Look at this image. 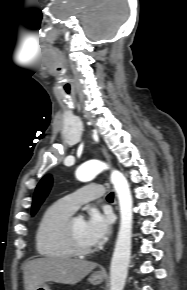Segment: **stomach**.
Instances as JSON below:
<instances>
[{"label":"stomach","instance_id":"stomach-1","mask_svg":"<svg viewBox=\"0 0 187 290\" xmlns=\"http://www.w3.org/2000/svg\"><path fill=\"white\" fill-rule=\"evenodd\" d=\"M104 280V276L100 275L99 273L95 272L93 273L90 277H89V281L90 283H92L93 285H99L103 282ZM35 290H50L48 285H46L45 283L38 286Z\"/></svg>","mask_w":187,"mask_h":290}]
</instances>
